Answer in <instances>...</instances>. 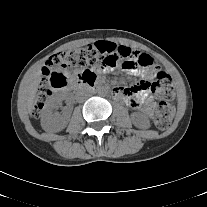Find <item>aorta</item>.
I'll return each instance as SVG.
<instances>
[{"label": "aorta", "mask_w": 207, "mask_h": 207, "mask_svg": "<svg viewBox=\"0 0 207 207\" xmlns=\"http://www.w3.org/2000/svg\"><path fill=\"white\" fill-rule=\"evenodd\" d=\"M101 93H102V94H106V91H105V90H102Z\"/></svg>", "instance_id": "obj_1"}]
</instances>
